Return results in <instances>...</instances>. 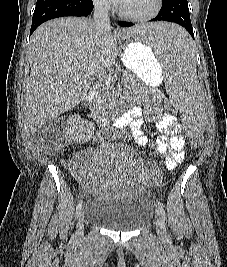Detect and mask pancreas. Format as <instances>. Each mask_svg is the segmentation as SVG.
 <instances>
[{
    "label": "pancreas",
    "mask_w": 227,
    "mask_h": 267,
    "mask_svg": "<svg viewBox=\"0 0 227 267\" xmlns=\"http://www.w3.org/2000/svg\"><path fill=\"white\" fill-rule=\"evenodd\" d=\"M123 81L125 82V85L133 91L145 89L144 84H142L139 79H135L133 75H125ZM115 97V89L111 82L107 84L104 83L96 93V106L100 109L109 108L115 102Z\"/></svg>",
    "instance_id": "pancreas-1"
}]
</instances>
